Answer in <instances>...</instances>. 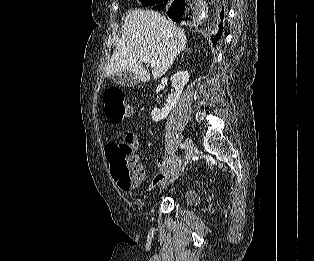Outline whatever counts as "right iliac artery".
Masks as SVG:
<instances>
[{"label":"right iliac artery","mask_w":314,"mask_h":261,"mask_svg":"<svg viewBox=\"0 0 314 261\" xmlns=\"http://www.w3.org/2000/svg\"><path fill=\"white\" fill-rule=\"evenodd\" d=\"M180 147H181L182 149H184V148H185V145H184L183 143H181V144H180Z\"/></svg>","instance_id":"obj_1"}]
</instances>
